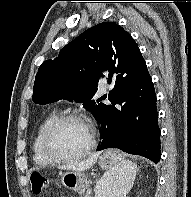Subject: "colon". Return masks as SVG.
Segmentation results:
<instances>
[{"mask_svg": "<svg viewBox=\"0 0 191 197\" xmlns=\"http://www.w3.org/2000/svg\"><path fill=\"white\" fill-rule=\"evenodd\" d=\"M32 191L34 194H41L47 187L48 180L40 173H32L30 176Z\"/></svg>", "mask_w": 191, "mask_h": 197, "instance_id": "obj_1", "label": "colon"}]
</instances>
